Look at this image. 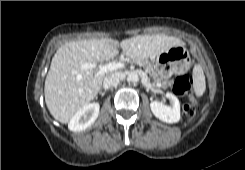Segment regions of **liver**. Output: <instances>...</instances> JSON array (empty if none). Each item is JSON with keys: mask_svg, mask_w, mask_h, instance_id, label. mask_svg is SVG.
I'll use <instances>...</instances> for the list:
<instances>
[{"mask_svg": "<svg viewBox=\"0 0 245 170\" xmlns=\"http://www.w3.org/2000/svg\"><path fill=\"white\" fill-rule=\"evenodd\" d=\"M184 44L179 38L164 34L137 35L120 43L108 38L65 43L54 54L46 76L44 95L47 108L57 121L68 123L96 97L105 77L111 75H97L94 68L83 69L82 64L108 61L118 55L119 46L131 59L153 58Z\"/></svg>", "mask_w": 245, "mask_h": 170, "instance_id": "1", "label": "liver"}]
</instances>
